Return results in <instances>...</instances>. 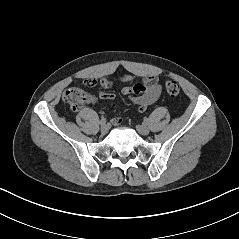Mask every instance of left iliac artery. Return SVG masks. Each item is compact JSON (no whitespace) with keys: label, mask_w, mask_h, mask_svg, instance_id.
Masks as SVG:
<instances>
[{"label":"left iliac artery","mask_w":239,"mask_h":239,"mask_svg":"<svg viewBox=\"0 0 239 239\" xmlns=\"http://www.w3.org/2000/svg\"><path fill=\"white\" fill-rule=\"evenodd\" d=\"M144 122L148 124V123H149V119H148V118H145V119H144Z\"/></svg>","instance_id":"44dca946"}]
</instances>
